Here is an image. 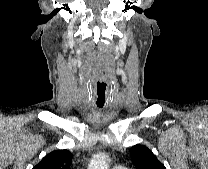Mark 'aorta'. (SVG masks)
I'll use <instances>...</instances> for the list:
<instances>
[{"instance_id":"1","label":"aorta","mask_w":208,"mask_h":169,"mask_svg":"<svg viewBox=\"0 0 208 169\" xmlns=\"http://www.w3.org/2000/svg\"><path fill=\"white\" fill-rule=\"evenodd\" d=\"M88 169H108L107 155L105 153L94 155L89 163Z\"/></svg>"}]
</instances>
